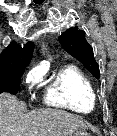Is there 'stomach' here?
<instances>
[{"label": "stomach", "mask_w": 117, "mask_h": 136, "mask_svg": "<svg viewBox=\"0 0 117 136\" xmlns=\"http://www.w3.org/2000/svg\"><path fill=\"white\" fill-rule=\"evenodd\" d=\"M71 136H88V133L84 130H78Z\"/></svg>", "instance_id": "obj_1"}]
</instances>
